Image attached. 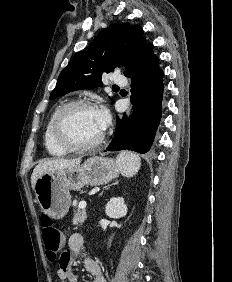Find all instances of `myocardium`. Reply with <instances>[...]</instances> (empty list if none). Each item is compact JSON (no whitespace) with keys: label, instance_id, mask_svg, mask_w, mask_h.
Returning a JSON list of instances; mask_svg holds the SVG:
<instances>
[{"label":"myocardium","instance_id":"1","mask_svg":"<svg viewBox=\"0 0 232 282\" xmlns=\"http://www.w3.org/2000/svg\"><path fill=\"white\" fill-rule=\"evenodd\" d=\"M76 107H86V108L96 109L94 103L83 99L73 100L61 106L53 120V124H52L53 138L60 147L70 152H83V151L93 150L103 143L105 139L104 130L97 140L89 144H75L69 141L62 133V123L64 117L71 109Z\"/></svg>","mask_w":232,"mask_h":282}]
</instances>
